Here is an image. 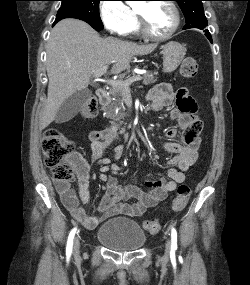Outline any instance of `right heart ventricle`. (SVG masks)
<instances>
[{
    "mask_svg": "<svg viewBox=\"0 0 250 285\" xmlns=\"http://www.w3.org/2000/svg\"><path fill=\"white\" fill-rule=\"evenodd\" d=\"M133 13H134V12H133ZM134 16H135V13H134ZM130 31H132V32H137V31H138V23H137L136 16H135V20H134L133 26H132V28L130 29Z\"/></svg>",
    "mask_w": 250,
    "mask_h": 285,
    "instance_id": "e07e8e85",
    "label": "right heart ventricle"
}]
</instances>
